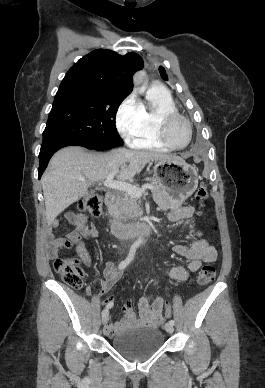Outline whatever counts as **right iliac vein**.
<instances>
[{
	"instance_id": "1",
	"label": "right iliac vein",
	"mask_w": 265,
	"mask_h": 388,
	"mask_svg": "<svg viewBox=\"0 0 265 388\" xmlns=\"http://www.w3.org/2000/svg\"><path fill=\"white\" fill-rule=\"evenodd\" d=\"M108 317H109V311H108V309H104L102 311V323L103 324L107 321Z\"/></svg>"
}]
</instances>
